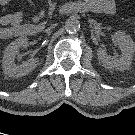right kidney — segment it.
Masks as SVG:
<instances>
[{"label": "right kidney", "mask_w": 135, "mask_h": 135, "mask_svg": "<svg viewBox=\"0 0 135 135\" xmlns=\"http://www.w3.org/2000/svg\"><path fill=\"white\" fill-rule=\"evenodd\" d=\"M28 46V38L20 37L11 42L3 52V71L9 77H21L32 72L39 63L37 58H31L22 64L16 65L14 58L20 48Z\"/></svg>", "instance_id": "obj_1"}]
</instances>
